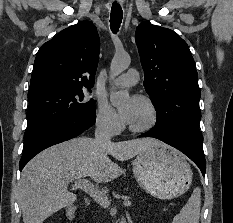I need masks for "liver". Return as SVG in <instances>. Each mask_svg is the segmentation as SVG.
Masks as SVG:
<instances>
[{"label": "liver", "instance_id": "liver-1", "mask_svg": "<svg viewBox=\"0 0 233 223\" xmlns=\"http://www.w3.org/2000/svg\"><path fill=\"white\" fill-rule=\"evenodd\" d=\"M161 143L154 137H138L97 147L93 137H74L44 149L21 171L17 195L24 223H43L62 207L73 205L77 195L68 189L73 179L90 177L107 183L122 175L123 167L109 155L127 161L150 145Z\"/></svg>", "mask_w": 233, "mask_h": 223}]
</instances>
